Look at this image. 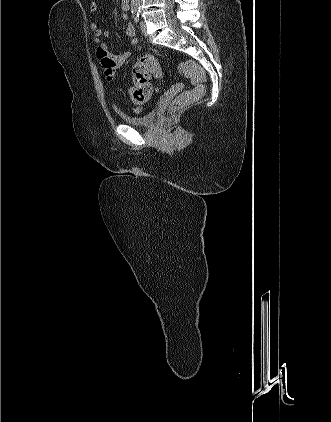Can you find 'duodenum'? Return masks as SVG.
Segmentation results:
<instances>
[{
    "label": "duodenum",
    "instance_id": "duodenum-1",
    "mask_svg": "<svg viewBox=\"0 0 331 422\" xmlns=\"http://www.w3.org/2000/svg\"><path fill=\"white\" fill-rule=\"evenodd\" d=\"M130 0H122V2H123V4H124V7L126 8V9H129V5H130V2H129Z\"/></svg>",
    "mask_w": 331,
    "mask_h": 422
}]
</instances>
